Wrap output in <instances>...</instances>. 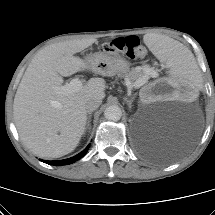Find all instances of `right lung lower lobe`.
I'll list each match as a JSON object with an SVG mask.
<instances>
[{
  "label": "right lung lower lobe",
  "mask_w": 215,
  "mask_h": 215,
  "mask_svg": "<svg viewBox=\"0 0 215 215\" xmlns=\"http://www.w3.org/2000/svg\"><path fill=\"white\" fill-rule=\"evenodd\" d=\"M89 147H90V144L82 152L68 159L57 160V161H46V160H41V161L50 165H68L82 158L87 153Z\"/></svg>",
  "instance_id": "right-lung-lower-lobe-1"
}]
</instances>
